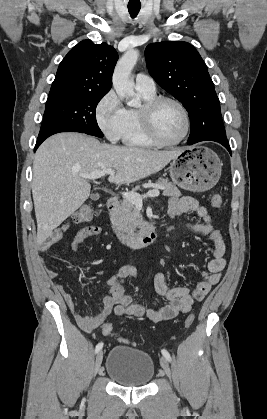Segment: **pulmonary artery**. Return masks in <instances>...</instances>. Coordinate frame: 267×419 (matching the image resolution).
I'll return each instance as SVG.
<instances>
[{
    "mask_svg": "<svg viewBox=\"0 0 267 419\" xmlns=\"http://www.w3.org/2000/svg\"><path fill=\"white\" fill-rule=\"evenodd\" d=\"M135 86L138 91L154 93L156 91V85L154 80L143 73H138L135 77Z\"/></svg>",
    "mask_w": 267,
    "mask_h": 419,
    "instance_id": "e3ab8cb5",
    "label": "pulmonary artery"
}]
</instances>
